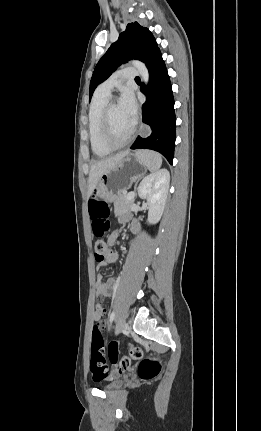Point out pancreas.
<instances>
[{"label": "pancreas", "mask_w": 261, "mask_h": 431, "mask_svg": "<svg viewBox=\"0 0 261 431\" xmlns=\"http://www.w3.org/2000/svg\"><path fill=\"white\" fill-rule=\"evenodd\" d=\"M128 194H118L114 198V210L116 214L127 212L134 204V199L127 200Z\"/></svg>", "instance_id": "obj_1"}]
</instances>
